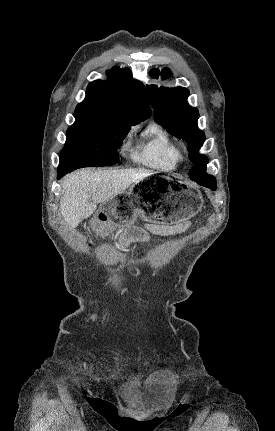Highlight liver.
<instances>
[{
  "label": "liver",
  "instance_id": "liver-1",
  "mask_svg": "<svg viewBox=\"0 0 275 431\" xmlns=\"http://www.w3.org/2000/svg\"><path fill=\"white\" fill-rule=\"evenodd\" d=\"M152 174L145 169L75 171L62 182L61 215L70 227L75 228L96 211L97 204L125 192L131 184Z\"/></svg>",
  "mask_w": 275,
  "mask_h": 431
}]
</instances>
